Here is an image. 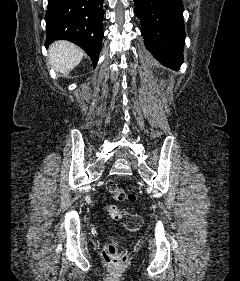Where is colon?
<instances>
[{"label":"colon","mask_w":240,"mask_h":281,"mask_svg":"<svg viewBox=\"0 0 240 281\" xmlns=\"http://www.w3.org/2000/svg\"><path fill=\"white\" fill-rule=\"evenodd\" d=\"M106 189L117 201L134 202L136 200L135 194L124 190L113 180L106 182ZM108 213L112 219L121 221L129 230H138L143 222L140 214L121 210L115 205L108 206ZM102 254L106 263L111 266L119 267L127 262V255L118 237H113L105 243Z\"/></svg>","instance_id":"obj_1"}]
</instances>
